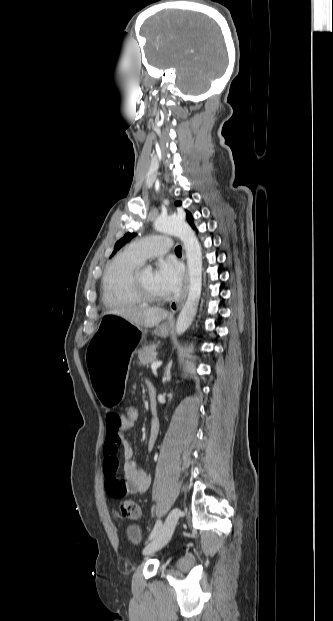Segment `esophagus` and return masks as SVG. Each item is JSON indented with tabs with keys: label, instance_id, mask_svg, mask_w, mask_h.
<instances>
[{
	"label": "esophagus",
	"instance_id": "1",
	"mask_svg": "<svg viewBox=\"0 0 333 621\" xmlns=\"http://www.w3.org/2000/svg\"><path fill=\"white\" fill-rule=\"evenodd\" d=\"M187 293H188V276H186L184 290H183V293H182L180 299L174 301L171 304V306H170L171 307V312L173 314L182 307V305H183V303L185 301V298L187 296ZM170 321H171V316L169 317V322Z\"/></svg>",
	"mask_w": 333,
	"mask_h": 621
}]
</instances>
